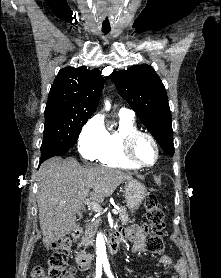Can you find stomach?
Returning <instances> with one entry per match:
<instances>
[{"mask_svg":"<svg viewBox=\"0 0 221 278\" xmlns=\"http://www.w3.org/2000/svg\"><path fill=\"white\" fill-rule=\"evenodd\" d=\"M146 195L147 189L145 185L138 180L129 179L125 182V200L131 212L140 207Z\"/></svg>","mask_w":221,"mask_h":278,"instance_id":"obj_1","label":"stomach"}]
</instances>
